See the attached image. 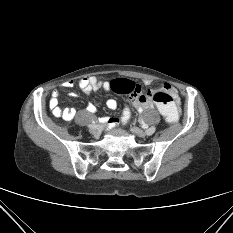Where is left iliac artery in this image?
Here are the masks:
<instances>
[{
    "label": "left iliac artery",
    "instance_id": "obj_1",
    "mask_svg": "<svg viewBox=\"0 0 233 233\" xmlns=\"http://www.w3.org/2000/svg\"><path fill=\"white\" fill-rule=\"evenodd\" d=\"M156 131V128L155 127H151V128H149L148 130H147V134L148 135H151L153 132H155Z\"/></svg>",
    "mask_w": 233,
    "mask_h": 233
}]
</instances>
